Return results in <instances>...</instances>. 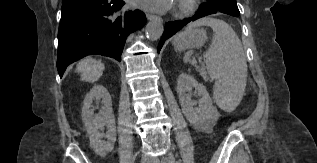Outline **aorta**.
<instances>
[{"mask_svg": "<svg viewBox=\"0 0 317 163\" xmlns=\"http://www.w3.org/2000/svg\"><path fill=\"white\" fill-rule=\"evenodd\" d=\"M164 31V26L160 18L151 20L146 26V35L150 40H158Z\"/></svg>", "mask_w": 317, "mask_h": 163, "instance_id": "aorta-1", "label": "aorta"}]
</instances>
